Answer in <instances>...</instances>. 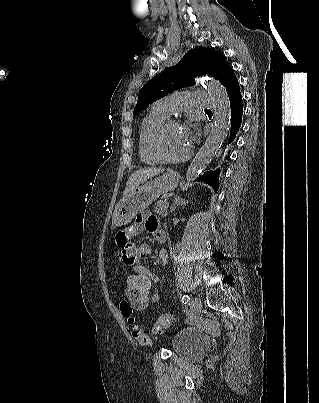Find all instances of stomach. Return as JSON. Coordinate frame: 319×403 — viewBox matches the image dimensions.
Returning <instances> with one entry per match:
<instances>
[{"label":"stomach","instance_id":"stomach-1","mask_svg":"<svg viewBox=\"0 0 319 403\" xmlns=\"http://www.w3.org/2000/svg\"><path fill=\"white\" fill-rule=\"evenodd\" d=\"M179 183V175L174 171H167L162 176L137 186L126 198H123L115 207L113 225L123 226L147 209L153 201L161 195L174 190Z\"/></svg>","mask_w":319,"mask_h":403}]
</instances>
